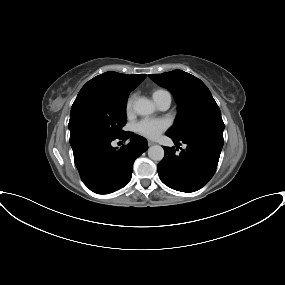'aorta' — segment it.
Listing matches in <instances>:
<instances>
[{"label": "aorta", "mask_w": 285, "mask_h": 285, "mask_svg": "<svg viewBox=\"0 0 285 285\" xmlns=\"http://www.w3.org/2000/svg\"><path fill=\"white\" fill-rule=\"evenodd\" d=\"M134 110L139 115H150L155 111L154 104L147 98H139L134 103ZM148 156L154 161H161L164 157V149L160 145L151 146Z\"/></svg>", "instance_id": "obj_1"}]
</instances>
